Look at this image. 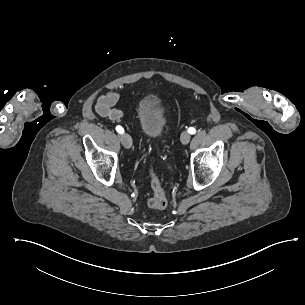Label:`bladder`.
<instances>
[{"label":"bladder","mask_w":305,"mask_h":305,"mask_svg":"<svg viewBox=\"0 0 305 305\" xmlns=\"http://www.w3.org/2000/svg\"><path fill=\"white\" fill-rule=\"evenodd\" d=\"M138 110V125L145 138L161 140L172 122L171 113L164 100L154 93H148L135 102Z\"/></svg>","instance_id":"31cf9c89"}]
</instances>
